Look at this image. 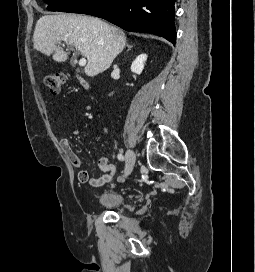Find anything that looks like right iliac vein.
I'll return each mask as SVG.
<instances>
[{"mask_svg": "<svg viewBox=\"0 0 255 272\" xmlns=\"http://www.w3.org/2000/svg\"><path fill=\"white\" fill-rule=\"evenodd\" d=\"M136 162V155L132 150L126 152V166L124 171V177H127L133 171Z\"/></svg>", "mask_w": 255, "mask_h": 272, "instance_id": "63e3f726", "label": "right iliac vein"}]
</instances>
